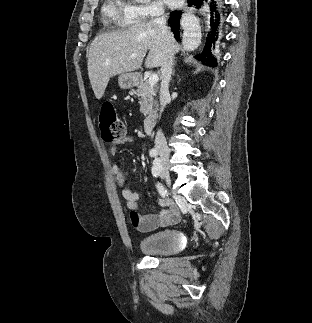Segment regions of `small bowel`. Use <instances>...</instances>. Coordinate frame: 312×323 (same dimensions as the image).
Listing matches in <instances>:
<instances>
[{"label": "small bowel", "instance_id": "small-bowel-1", "mask_svg": "<svg viewBox=\"0 0 312 323\" xmlns=\"http://www.w3.org/2000/svg\"><path fill=\"white\" fill-rule=\"evenodd\" d=\"M131 141L132 138L130 136L122 137L110 146L109 153L115 155L119 145L128 144ZM111 173L121 188V194L125 205L130 211L131 224L136 230L143 233L152 232L159 228L174 225L180 221L181 213L177 205L171 199L161 202L163 209L160 213L141 215L138 206L139 194L126 186L124 174L117 164L111 166Z\"/></svg>", "mask_w": 312, "mask_h": 323}]
</instances>
